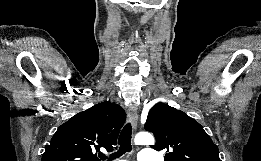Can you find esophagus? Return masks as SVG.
Segmentation results:
<instances>
[{
  "label": "esophagus",
  "instance_id": "34e87169",
  "mask_svg": "<svg viewBox=\"0 0 261 161\" xmlns=\"http://www.w3.org/2000/svg\"><path fill=\"white\" fill-rule=\"evenodd\" d=\"M128 117H129V119L131 121L133 129L136 130L137 125H138V119H139L138 110H137L136 105H130L129 106V108H128Z\"/></svg>",
  "mask_w": 261,
  "mask_h": 161
}]
</instances>
